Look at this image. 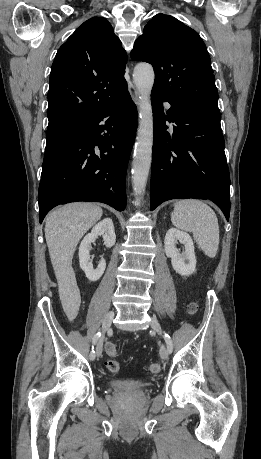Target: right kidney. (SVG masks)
<instances>
[{
    "mask_svg": "<svg viewBox=\"0 0 261 459\" xmlns=\"http://www.w3.org/2000/svg\"><path fill=\"white\" fill-rule=\"evenodd\" d=\"M103 237L104 245L111 248L116 242V235L114 230L113 221L110 218H105L96 224L91 233L87 234L82 240L79 247V263L81 269L85 272L86 277L90 281H97L103 275L106 268V261L101 259L98 267L93 268L92 260L90 258L91 244L95 242L97 236Z\"/></svg>",
    "mask_w": 261,
    "mask_h": 459,
    "instance_id": "obj_1",
    "label": "right kidney"
}]
</instances>
